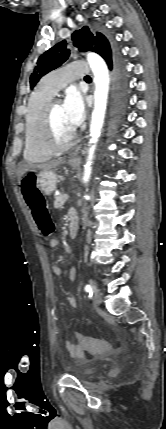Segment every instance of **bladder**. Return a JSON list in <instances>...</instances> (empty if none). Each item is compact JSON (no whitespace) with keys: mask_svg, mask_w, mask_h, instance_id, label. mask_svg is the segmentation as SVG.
Segmentation results:
<instances>
[{"mask_svg":"<svg viewBox=\"0 0 166 429\" xmlns=\"http://www.w3.org/2000/svg\"><path fill=\"white\" fill-rule=\"evenodd\" d=\"M102 366L99 365H87L84 368L74 372V375L80 379H85L96 375Z\"/></svg>","mask_w":166,"mask_h":429,"instance_id":"bladder-1","label":"bladder"}]
</instances>
